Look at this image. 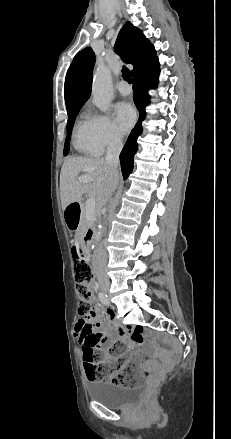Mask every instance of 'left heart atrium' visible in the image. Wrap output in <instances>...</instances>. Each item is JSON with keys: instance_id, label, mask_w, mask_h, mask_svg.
<instances>
[{"instance_id": "1", "label": "left heart atrium", "mask_w": 231, "mask_h": 439, "mask_svg": "<svg viewBox=\"0 0 231 439\" xmlns=\"http://www.w3.org/2000/svg\"><path fill=\"white\" fill-rule=\"evenodd\" d=\"M136 112L127 102H120L115 106V121L123 133L128 132L134 125Z\"/></svg>"}]
</instances>
